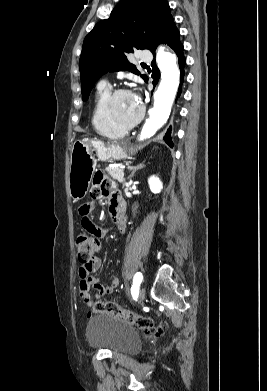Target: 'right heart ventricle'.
<instances>
[{"label": "right heart ventricle", "mask_w": 267, "mask_h": 391, "mask_svg": "<svg viewBox=\"0 0 267 391\" xmlns=\"http://www.w3.org/2000/svg\"><path fill=\"white\" fill-rule=\"evenodd\" d=\"M110 92V88L106 86L98 88L94 99L91 121L98 134L116 139L123 137L127 131L114 126L106 116L105 102Z\"/></svg>", "instance_id": "right-heart-ventricle-1"}]
</instances>
